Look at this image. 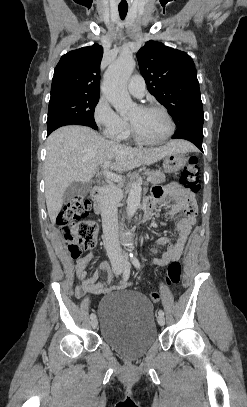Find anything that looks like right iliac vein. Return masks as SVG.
I'll return each instance as SVG.
<instances>
[{
    "label": "right iliac vein",
    "instance_id": "1",
    "mask_svg": "<svg viewBox=\"0 0 247 407\" xmlns=\"http://www.w3.org/2000/svg\"><path fill=\"white\" fill-rule=\"evenodd\" d=\"M122 270H123V266H122V265H114V266H113V271H114V273H115L116 275H119V274L122 272ZM97 325H98L97 319H96V318L92 319V321H91V326H92V328L95 329V328L97 327Z\"/></svg>",
    "mask_w": 247,
    "mask_h": 407
}]
</instances>
